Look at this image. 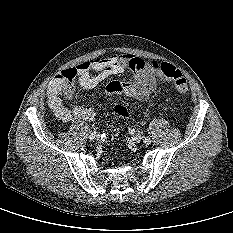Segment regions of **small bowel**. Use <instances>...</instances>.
Segmentation results:
<instances>
[{
	"instance_id": "c3829d8e",
	"label": "small bowel",
	"mask_w": 233,
	"mask_h": 233,
	"mask_svg": "<svg viewBox=\"0 0 233 233\" xmlns=\"http://www.w3.org/2000/svg\"><path fill=\"white\" fill-rule=\"evenodd\" d=\"M156 61L146 62L142 58L122 54L112 55L106 58H96L84 61L74 68L65 70L48 88V102L56 117L62 122L74 120L90 121L94 118L92 106L76 105L67 107L61 98V84L70 75L77 78L78 85L84 90L96 87L99 83L112 75L123 73L130 69L134 73L131 82H111L107 85L105 96L124 94L138 100L147 99L155 90L157 85Z\"/></svg>"
}]
</instances>
